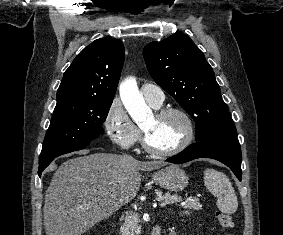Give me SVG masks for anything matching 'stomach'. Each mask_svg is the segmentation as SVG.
<instances>
[{
    "mask_svg": "<svg viewBox=\"0 0 283 235\" xmlns=\"http://www.w3.org/2000/svg\"><path fill=\"white\" fill-rule=\"evenodd\" d=\"M152 178L157 185L169 191H181L188 184V176L176 165L154 172Z\"/></svg>",
    "mask_w": 283,
    "mask_h": 235,
    "instance_id": "stomach-1",
    "label": "stomach"
}]
</instances>
